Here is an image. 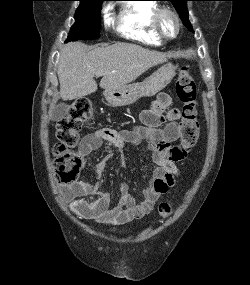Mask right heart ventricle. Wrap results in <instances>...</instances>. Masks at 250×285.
Wrapping results in <instances>:
<instances>
[{"mask_svg": "<svg viewBox=\"0 0 250 285\" xmlns=\"http://www.w3.org/2000/svg\"><path fill=\"white\" fill-rule=\"evenodd\" d=\"M158 8V4L151 0L127 3L119 13L118 32L128 40L147 46H160L162 41L152 29V17Z\"/></svg>", "mask_w": 250, "mask_h": 285, "instance_id": "1", "label": "right heart ventricle"}]
</instances>
